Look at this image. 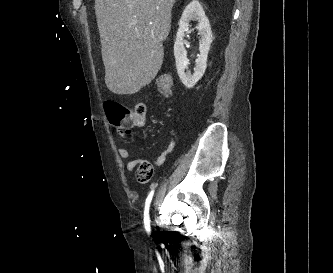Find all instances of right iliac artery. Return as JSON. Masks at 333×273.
Returning a JSON list of instances; mask_svg holds the SVG:
<instances>
[{
  "label": "right iliac artery",
  "instance_id": "82829eb1",
  "mask_svg": "<svg viewBox=\"0 0 333 273\" xmlns=\"http://www.w3.org/2000/svg\"><path fill=\"white\" fill-rule=\"evenodd\" d=\"M154 194V190H152L145 202V209H144V226H145V230L148 234H150V217H149V207H150V203L152 200Z\"/></svg>",
  "mask_w": 333,
  "mask_h": 273
}]
</instances>
